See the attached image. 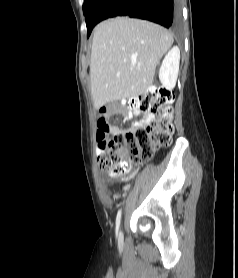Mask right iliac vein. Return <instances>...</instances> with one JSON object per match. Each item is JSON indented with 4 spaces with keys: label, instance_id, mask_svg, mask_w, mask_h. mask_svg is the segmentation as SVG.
I'll return each mask as SVG.
<instances>
[{
    "label": "right iliac vein",
    "instance_id": "obj_1",
    "mask_svg": "<svg viewBox=\"0 0 238 278\" xmlns=\"http://www.w3.org/2000/svg\"><path fill=\"white\" fill-rule=\"evenodd\" d=\"M122 238V232L120 231L119 232V239H121Z\"/></svg>",
    "mask_w": 238,
    "mask_h": 278
}]
</instances>
